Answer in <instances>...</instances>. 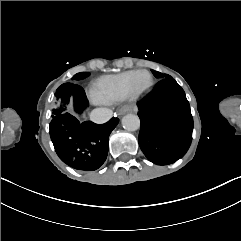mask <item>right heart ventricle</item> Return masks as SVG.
Here are the masks:
<instances>
[{"mask_svg":"<svg viewBox=\"0 0 241 241\" xmlns=\"http://www.w3.org/2000/svg\"><path fill=\"white\" fill-rule=\"evenodd\" d=\"M133 73L99 78L90 90V98L98 103L122 100L129 94L128 85L134 81Z\"/></svg>","mask_w":241,"mask_h":241,"instance_id":"obj_1","label":"right heart ventricle"}]
</instances>
